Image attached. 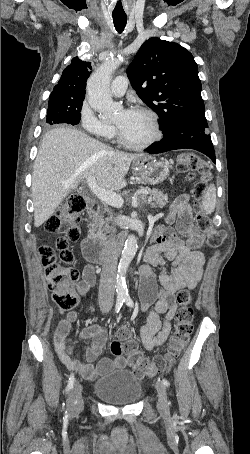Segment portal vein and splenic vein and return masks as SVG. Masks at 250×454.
Segmentation results:
<instances>
[{"label": "portal vein and splenic vein", "mask_w": 250, "mask_h": 454, "mask_svg": "<svg viewBox=\"0 0 250 454\" xmlns=\"http://www.w3.org/2000/svg\"><path fill=\"white\" fill-rule=\"evenodd\" d=\"M87 185L89 186L91 192L102 202H104L114 208H121L123 206V204H124L123 198L119 194H117L113 191H109V190L100 188L96 184V180L93 176L87 177ZM137 193L138 194L144 193V190H139Z\"/></svg>", "instance_id": "1"}]
</instances>
